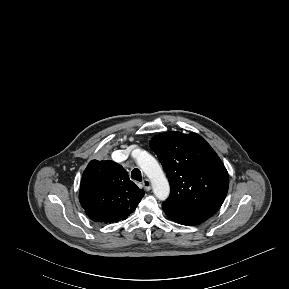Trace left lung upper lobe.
Here are the masks:
<instances>
[{"label":"left lung upper lobe","mask_w":289,"mask_h":289,"mask_svg":"<svg viewBox=\"0 0 289 289\" xmlns=\"http://www.w3.org/2000/svg\"><path fill=\"white\" fill-rule=\"evenodd\" d=\"M150 147L170 184L165 203L215 214L227 195L229 176L211 146L196 133L167 132L155 136Z\"/></svg>","instance_id":"left-lung-upper-lobe-1"}]
</instances>
